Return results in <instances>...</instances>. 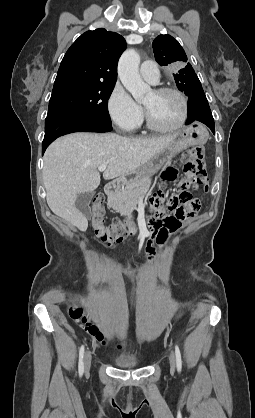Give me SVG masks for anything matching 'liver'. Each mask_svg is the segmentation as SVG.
<instances>
[{
	"label": "liver",
	"mask_w": 255,
	"mask_h": 418,
	"mask_svg": "<svg viewBox=\"0 0 255 418\" xmlns=\"http://www.w3.org/2000/svg\"><path fill=\"white\" fill-rule=\"evenodd\" d=\"M178 133L157 138H132L115 133H73L54 141L44 154L46 200L54 214L85 231L86 217L76 208L79 194L100 184L98 167L107 163L103 178L134 174L152 157L172 145Z\"/></svg>",
	"instance_id": "liver-1"
}]
</instances>
